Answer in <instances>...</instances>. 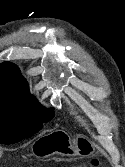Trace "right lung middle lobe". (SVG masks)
Wrapping results in <instances>:
<instances>
[{"label":"right lung middle lobe","mask_w":125,"mask_h":167,"mask_svg":"<svg viewBox=\"0 0 125 167\" xmlns=\"http://www.w3.org/2000/svg\"><path fill=\"white\" fill-rule=\"evenodd\" d=\"M54 116L33 98L0 96V143L13 144L32 136Z\"/></svg>","instance_id":"1"}]
</instances>
